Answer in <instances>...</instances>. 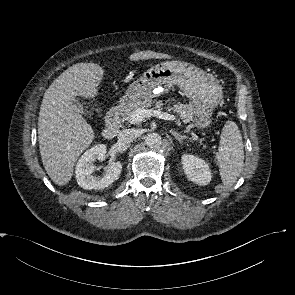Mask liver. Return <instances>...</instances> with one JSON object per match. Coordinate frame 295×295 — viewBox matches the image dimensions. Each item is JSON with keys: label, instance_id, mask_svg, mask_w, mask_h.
<instances>
[{"label": "liver", "instance_id": "obj_1", "mask_svg": "<svg viewBox=\"0 0 295 295\" xmlns=\"http://www.w3.org/2000/svg\"><path fill=\"white\" fill-rule=\"evenodd\" d=\"M170 55L140 51L130 61L168 59ZM104 70L95 63H77L56 78L44 93L38 118V140L42 163L51 180L66 185L80 154L90 146L94 131L74 108L76 96L93 98Z\"/></svg>", "mask_w": 295, "mask_h": 295}]
</instances>
